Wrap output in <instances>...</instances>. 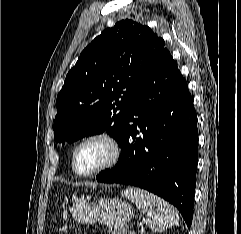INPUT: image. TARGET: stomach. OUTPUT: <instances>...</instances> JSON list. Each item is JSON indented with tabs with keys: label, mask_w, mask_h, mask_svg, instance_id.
Returning <instances> with one entry per match:
<instances>
[{
	"label": "stomach",
	"mask_w": 241,
	"mask_h": 234,
	"mask_svg": "<svg viewBox=\"0 0 241 234\" xmlns=\"http://www.w3.org/2000/svg\"><path fill=\"white\" fill-rule=\"evenodd\" d=\"M71 211L78 223L99 221L115 229L122 228L133 215L132 207L128 203L113 198H103L95 202L79 199Z\"/></svg>",
	"instance_id": "obj_1"
}]
</instances>
